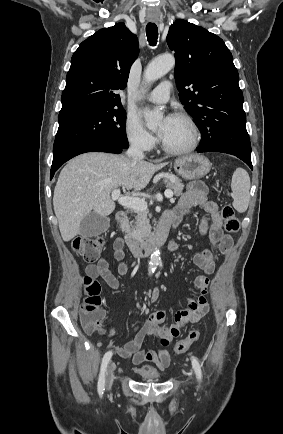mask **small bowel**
<instances>
[{
  "instance_id": "c3829d8e",
  "label": "small bowel",
  "mask_w": 283,
  "mask_h": 434,
  "mask_svg": "<svg viewBox=\"0 0 283 434\" xmlns=\"http://www.w3.org/2000/svg\"><path fill=\"white\" fill-rule=\"evenodd\" d=\"M195 207L201 208L203 217L200 222V233L208 235L213 248L221 255L226 254L233 245L231 235L225 233L222 229V219L218 211L217 204L208 199L207 189L200 182L191 183L186 192L182 195L179 202L169 211L166 212L163 220L169 221L173 226H177L182 219L188 215ZM171 251L178 250V244L173 242L170 245ZM114 257L118 261L117 271L120 275L128 272V266L124 261V240L116 238L113 243ZM217 255L210 249L203 250L194 256L195 265L210 275L215 270ZM86 274L92 278H102L105 283L113 288L118 289L120 283L115 275L109 269V263L105 258H100L95 264L86 267ZM194 286L199 292L195 299H190L186 308L177 311L173 316V323L166 327L163 325L165 313L157 311L152 313L146 323L132 331V338L124 345L115 348L116 354L123 358H132L135 370L143 368L145 362H150L163 370L170 364V355L166 350L169 343L179 335L183 325L199 321L209 311V304L206 295L209 289V279L204 276H198L194 281ZM159 297V291L155 289L151 295V302L154 303ZM108 336L115 338L119 332L112 325V318L107 317ZM99 334H105L103 327L96 330ZM149 335H155L159 338L160 348L158 351H145L143 344L145 338Z\"/></svg>"
}]
</instances>
